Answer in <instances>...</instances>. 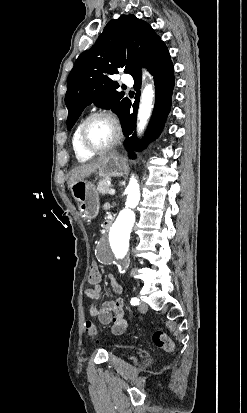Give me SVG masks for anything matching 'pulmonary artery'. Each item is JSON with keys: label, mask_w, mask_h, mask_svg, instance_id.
I'll return each instance as SVG.
<instances>
[{"label": "pulmonary artery", "mask_w": 247, "mask_h": 413, "mask_svg": "<svg viewBox=\"0 0 247 413\" xmlns=\"http://www.w3.org/2000/svg\"><path fill=\"white\" fill-rule=\"evenodd\" d=\"M133 79H130V77L128 75H122V74L117 75V80L120 81V82H124V85H129V83H130V85L133 86L132 85V80Z\"/></svg>", "instance_id": "1"}]
</instances>
